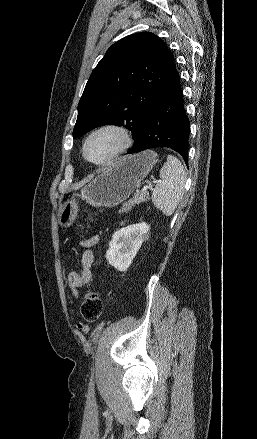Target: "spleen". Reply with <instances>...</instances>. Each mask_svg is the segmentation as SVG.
Segmentation results:
<instances>
[{
  "instance_id": "spleen-1",
  "label": "spleen",
  "mask_w": 257,
  "mask_h": 439,
  "mask_svg": "<svg viewBox=\"0 0 257 439\" xmlns=\"http://www.w3.org/2000/svg\"><path fill=\"white\" fill-rule=\"evenodd\" d=\"M186 173L181 162L168 155L167 162L160 170V180L152 193L153 205L165 216H171L184 192Z\"/></svg>"
}]
</instances>
